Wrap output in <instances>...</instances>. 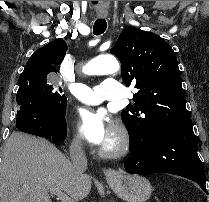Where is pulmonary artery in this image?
Here are the masks:
<instances>
[{"label":"pulmonary artery","mask_w":209,"mask_h":202,"mask_svg":"<svg viewBox=\"0 0 209 202\" xmlns=\"http://www.w3.org/2000/svg\"><path fill=\"white\" fill-rule=\"evenodd\" d=\"M72 92L78 100L91 105H98L105 99L118 101L123 98L121 85L112 78H106L96 86L77 83Z\"/></svg>","instance_id":"1"}]
</instances>
